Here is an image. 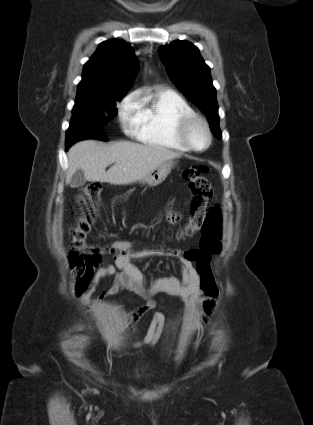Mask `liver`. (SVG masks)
Listing matches in <instances>:
<instances>
[{
	"mask_svg": "<svg viewBox=\"0 0 313 425\" xmlns=\"http://www.w3.org/2000/svg\"><path fill=\"white\" fill-rule=\"evenodd\" d=\"M66 184L77 170H82L90 182L123 185L143 179L161 163L180 158V153L167 148L128 141L112 145L94 140L76 143L68 151ZM113 164L108 171L106 167Z\"/></svg>",
	"mask_w": 313,
	"mask_h": 425,
	"instance_id": "obj_1",
	"label": "liver"
}]
</instances>
